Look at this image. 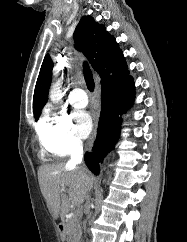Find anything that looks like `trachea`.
Instances as JSON below:
<instances>
[{
	"label": "trachea",
	"instance_id": "trachea-1",
	"mask_svg": "<svg viewBox=\"0 0 187 242\" xmlns=\"http://www.w3.org/2000/svg\"><path fill=\"white\" fill-rule=\"evenodd\" d=\"M84 77L86 81L87 88L90 92L94 91L95 83L88 63L85 61L83 63Z\"/></svg>",
	"mask_w": 187,
	"mask_h": 242
}]
</instances>
